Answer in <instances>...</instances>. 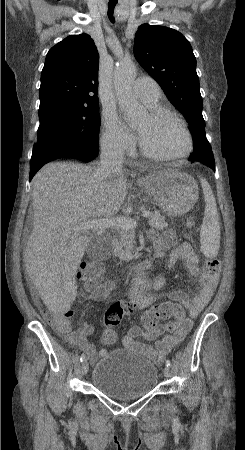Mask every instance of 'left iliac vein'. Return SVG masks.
<instances>
[{"mask_svg":"<svg viewBox=\"0 0 245 450\" xmlns=\"http://www.w3.org/2000/svg\"><path fill=\"white\" fill-rule=\"evenodd\" d=\"M164 376H165L166 378H169V377H170V370H169L168 367H165V368H164Z\"/></svg>","mask_w":245,"mask_h":450,"instance_id":"left-iliac-vein-1","label":"left iliac vein"}]
</instances>
